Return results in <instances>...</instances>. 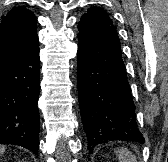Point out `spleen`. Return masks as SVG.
<instances>
[{
    "instance_id": "1",
    "label": "spleen",
    "mask_w": 168,
    "mask_h": 162,
    "mask_svg": "<svg viewBox=\"0 0 168 162\" xmlns=\"http://www.w3.org/2000/svg\"><path fill=\"white\" fill-rule=\"evenodd\" d=\"M119 162H137L135 156L127 148H120L115 151Z\"/></svg>"
}]
</instances>
